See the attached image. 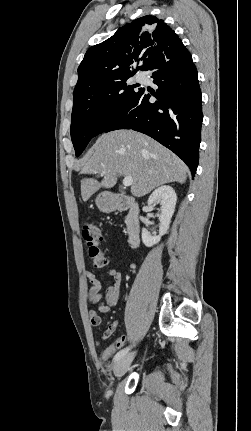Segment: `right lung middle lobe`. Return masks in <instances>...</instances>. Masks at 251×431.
Listing matches in <instances>:
<instances>
[{
	"instance_id": "right-lung-middle-lobe-1",
	"label": "right lung middle lobe",
	"mask_w": 251,
	"mask_h": 431,
	"mask_svg": "<svg viewBox=\"0 0 251 431\" xmlns=\"http://www.w3.org/2000/svg\"><path fill=\"white\" fill-rule=\"evenodd\" d=\"M134 74L73 96L70 132L76 156L83 152L94 136L105 131L139 92L133 89L135 85L126 84Z\"/></svg>"
}]
</instances>
